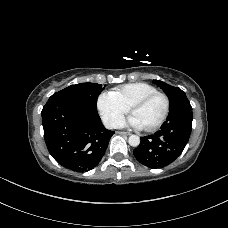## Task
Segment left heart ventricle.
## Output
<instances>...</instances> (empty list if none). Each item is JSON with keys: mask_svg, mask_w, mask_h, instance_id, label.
I'll list each match as a JSON object with an SVG mask.
<instances>
[{"mask_svg": "<svg viewBox=\"0 0 228 228\" xmlns=\"http://www.w3.org/2000/svg\"><path fill=\"white\" fill-rule=\"evenodd\" d=\"M164 111V100L161 97H155L145 105L136 108L132 112L142 128L154 125L161 117Z\"/></svg>", "mask_w": 228, "mask_h": 228, "instance_id": "b2bd125f", "label": "left heart ventricle"}]
</instances>
